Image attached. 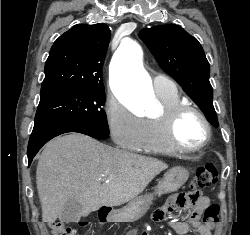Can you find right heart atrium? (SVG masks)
<instances>
[{
    "mask_svg": "<svg viewBox=\"0 0 250 235\" xmlns=\"http://www.w3.org/2000/svg\"><path fill=\"white\" fill-rule=\"evenodd\" d=\"M105 117L114 142L128 150H137L144 138V120L114 97H109Z\"/></svg>",
    "mask_w": 250,
    "mask_h": 235,
    "instance_id": "obj_1",
    "label": "right heart atrium"
}]
</instances>
